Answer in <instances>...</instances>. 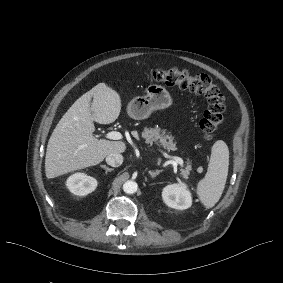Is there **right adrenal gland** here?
<instances>
[{
    "label": "right adrenal gland",
    "instance_id": "right-adrenal-gland-1",
    "mask_svg": "<svg viewBox=\"0 0 283 283\" xmlns=\"http://www.w3.org/2000/svg\"><path fill=\"white\" fill-rule=\"evenodd\" d=\"M101 168L105 169V173L111 172L114 170V168H109L106 165H100Z\"/></svg>",
    "mask_w": 283,
    "mask_h": 283
}]
</instances>
